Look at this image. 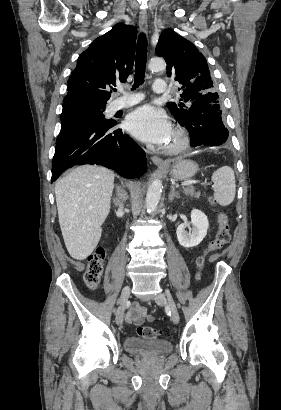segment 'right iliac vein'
<instances>
[{"label": "right iliac vein", "instance_id": "1", "mask_svg": "<svg viewBox=\"0 0 281 410\" xmlns=\"http://www.w3.org/2000/svg\"><path fill=\"white\" fill-rule=\"evenodd\" d=\"M130 297V287L126 286L123 288L122 292H121V296H120V300H119V310L116 314V324L118 326H121L123 323V319H124V306L126 304V302L128 301Z\"/></svg>", "mask_w": 281, "mask_h": 410}]
</instances>
